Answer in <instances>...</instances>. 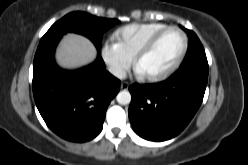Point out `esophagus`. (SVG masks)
I'll return each mask as SVG.
<instances>
[{"mask_svg": "<svg viewBox=\"0 0 248 165\" xmlns=\"http://www.w3.org/2000/svg\"><path fill=\"white\" fill-rule=\"evenodd\" d=\"M128 87H129V83L128 82H122L121 83V89L126 90V89H128Z\"/></svg>", "mask_w": 248, "mask_h": 165, "instance_id": "1", "label": "esophagus"}]
</instances>
